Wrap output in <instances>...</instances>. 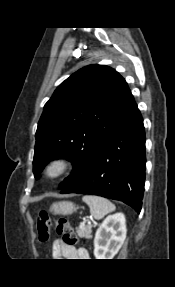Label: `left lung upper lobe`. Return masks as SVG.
<instances>
[{
    "label": "left lung upper lobe",
    "mask_w": 175,
    "mask_h": 287,
    "mask_svg": "<svg viewBox=\"0 0 175 287\" xmlns=\"http://www.w3.org/2000/svg\"><path fill=\"white\" fill-rule=\"evenodd\" d=\"M137 105L124 78L105 65H89L67 78L45 104L33 160L36 178L50 160L66 157L73 171L59 188L85 174L101 143Z\"/></svg>",
    "instance_id": "1"
}]
</instances>
